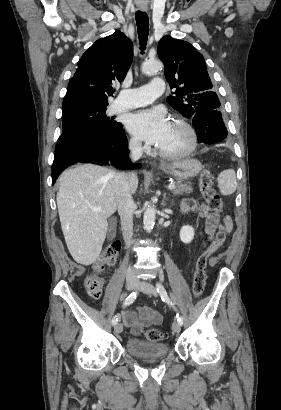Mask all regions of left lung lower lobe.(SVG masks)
<instances>
[{"instance_id": "obj_1", "label": "left lung lower lobe", "mask_w": 281, "mask_h": 410, "mask_svg": "<svg viewBox=\"0 0 281 410\" xmlns=\"http://www.w3.org/2000/svg\"><path fill=\"white\" fill-rule=\"evenodd\" d=\"M192 124L199 143H216L225 139L228 134L219 110L197 113L193 117Z\"/></svg>"}]
</instances>
